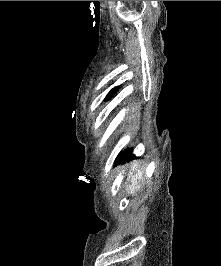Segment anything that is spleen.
I'll list each match as a JSON object with an SVG mask.
<instances>
[{
  "instance_id": "obj_1",
  "label": "spleen",
  "mask_w": 221,
  "mask_h": 266,
  "mask_svg": "<svg viewBox=\"0 0 221 266\" xmlns=\"http://www.w3.org/2000/svg\"><path fill=\"white\" fill-rule=\"evenodd\" d=\"M138 167V163L136 162L133 167H132V171H135ZM144 171L145 168H142L141 170H138L137 173L135 175H132V173H129V178L131 181V185L129 186L128 190L131 193H134L135 190H140V188L144 185Z\"/></svg>"
}]
</instances>
